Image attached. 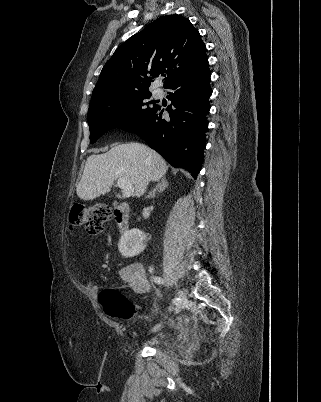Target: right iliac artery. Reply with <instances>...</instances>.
<instances>
[{"instance_id": "right-iliac-artery-1", "label": "right iliac artery", "mask_w": 321, "mask_h": 402, "mask_svg": "<svg viewBox=\"0 0 321 402\" xmlns=\"http://www.w3.org/2000/svg\"><path fill=\"white\" fill-rule=\"evenodd\" d=\"M154 279V281L156 282V283H158V284H163L164 283V281H163V279H161L160 277H154L153 278ZM179 298H174L173 299V303H178L179 302Z\"/></svg>"}]
</instances>
